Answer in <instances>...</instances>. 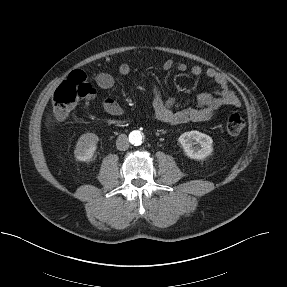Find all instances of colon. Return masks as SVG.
<instances>
[{"label":"colon","mask_w":287,"mask_h":287,"mask_svg":"<svg viewBox=\"0 0 287 287\" xmlns=\"http://www.w3.org/2000/svg\"><path fill=\"white\" fill-rule=\"evenodd\" d=\"M95 94L87 75L77 70L69 75L56 89L52 98L54 115L59 120L69 117L74 107ZM245 127V119L238 113H230L225 120V129L230 135H238Z\"/></svg>","instance_id":"5ec220e1"}]
</instances>
